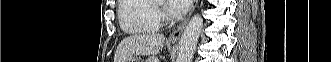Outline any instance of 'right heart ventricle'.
Segmentation results:
<instances>
[{
	"mask_svg": "<svg viewBox=\"0 0 331 62\" xmlns=\"http://www.w3.org/2000/svg\"><path fill=\"white\" fill-rule=\"evenodd\" d=\"M121 29L129 34L152 33L158 30V22L152 1L121 0L118 6Z\"/></svg>",
	"mask_w": 331,
	"mask_h": 62,
	"instance_id": "right-heart-ventricle-1",
	"label": "right heart ventricle"
}]
</instances>
